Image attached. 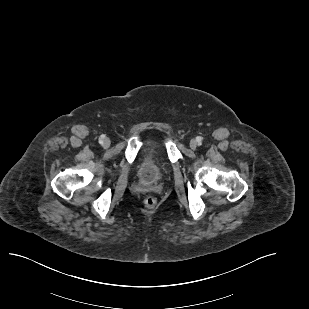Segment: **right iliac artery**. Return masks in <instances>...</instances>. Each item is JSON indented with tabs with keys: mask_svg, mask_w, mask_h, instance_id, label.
<instances>
[{
	"mask_svg": "<svg viewBox=\"0 0 309 309\" xmlns=\"http://www.w3.org/2000/svg\"><path fill=\"white\" fill-rule=\"evenodd\" d=\"M99 143H100V144L103 143V138L99 139Z\"/></svg>",
	"mask_w": 309,
	"mask_h": 309,
	"instance_id": "82829eb1",
	"label": "right iliac artery"
}]
</instances>
